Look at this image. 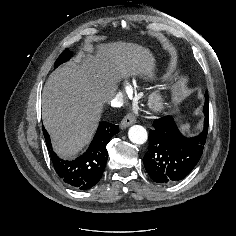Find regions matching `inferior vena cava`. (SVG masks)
<instances>
[{
	"label": "inferior vena cava",
	"mask_w": 236,
	"mask_h": 236,
	"mask_svg": "<svg viewBox=\"0 0 236 236\" xmlns=\"http://www.w3.org/2000/svg\"><path fill=\"white\" fill-rule=\"evenodd\" d=\"M124 103V97L121 92L116 94V96L111 100V105L113 107H121Z\"/></svg>",
	"instance_id": "inferior-vena-cava-1"
}]
</instances>
